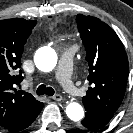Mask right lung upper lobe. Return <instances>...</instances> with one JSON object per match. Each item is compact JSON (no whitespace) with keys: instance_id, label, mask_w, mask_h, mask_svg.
<instances>
[{"instance_id":"1","label":"right lung upper lobe","mask_w":133,"mask_h":133,"mask_svg":"<svg viewBox=\"0 0 133 133\" xmlns=\"http://www.w3.org/2000/svg\"><path fill=\"white\" fill-rule=\"evenodd\" d=\"M35 25L36 20L21 18L0 21V127L4 129L16 125L41 103L16 89L23 80L19 70L23 47Z\"/></svg>"}]
</instances>
